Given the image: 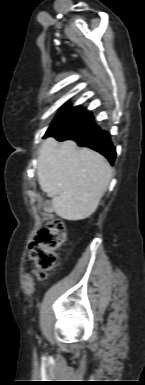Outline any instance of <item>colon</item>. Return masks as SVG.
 Segmentation results:
<instances>
[{
	"instance_id": "colon-1",
	"label": "colon",
	"mask_w": 145,
	"mask_h": 385,
	"mask_svg": "<svg viewBox=\"0 0 145 385\" xmlns=\"http://www.w3.org/2000/svg\"><path fill=\"white\" fill-rule=\"evenodd\" d=\"M66 239V228L59 219L49 220L30 244L29 258L34 263L36 275L45 279L53 268L57 253Z\"/></svg>"
}]
</instances>
